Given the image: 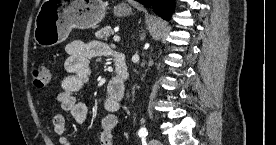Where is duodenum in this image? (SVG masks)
Returning <instances> with one entry per match:
<instances>
[{
	"label": "duodenum",
	"instance_id": "1",
	"mask_svg": "<svg viewBox=\"0 0 276 145\" xmlns=\"http://www.w3.org/2000/svg\"><path fill=\"white\" fill-rule=\"evenodd\" d=\"M116 76L112 79V86L120 92H124L129 71L125 55L117 54L114 58Z\"/></svg>",
	"mask_w": 276,
	"mask_h": 145
}]
</instances>
